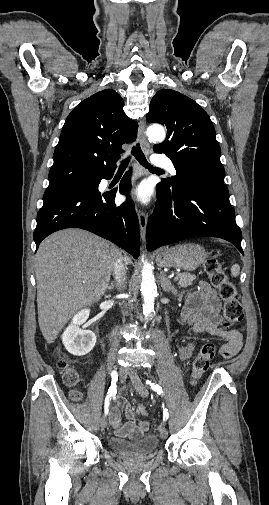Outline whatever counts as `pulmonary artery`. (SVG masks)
Instances as JSON below:
<instances>
[{
  "instance_id": "1",
  "label": "pulmonary artery",
  "mask_w": 269,
  "mask_h": 505,
  "mask_svg": "<svg viewBox=\"0 0 269 505\" xmlns=\"http://www.w3.org/2000/svg\"><path fill=\"white\" fill-rule=\"evenodd\" d=\"M152 162L157 167L167 169L172 175H176L177 173L173 163L168 158H162L155 155L152 157Z\"/></svg>"
}]
</instances>
